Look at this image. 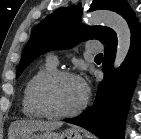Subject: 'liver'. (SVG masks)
Segmentation results:
<instances>
[{
	"label": "liver",
	"instance_id": "liver-1",
	"mask_svg": "<svg viewBox=\"0 0 141 139\" xmlns=\"http://www.w3.org/2000/svg\"><path fill=\"white\" fill-rule=\"evenodd\" d=\"M62 124V122H49L44 120L16 121L10 125L9 139H18L28 133L37 131H52L62 126Z\"/></svg>",
	"mask_w": 141,
	"mask_h": 139
}]
</instances>
